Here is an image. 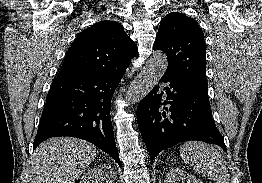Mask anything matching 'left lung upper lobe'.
Instances as JSON below:
<instances>
[{
    "label": "left lung upper lobe",
    "mask_w": 262,
    "mask_h": 183,
    "mask_svg": "<svg viewBox=\"0 0 262 183\" xmlns=\"http://www.w3.org/2000/svg\"><path fill=\"white\" fill-rule=\"evenodd\" d=\"M154 49L166 53L167 72L208 90L204 33L195 20L177 12L166 15L161 21Z\"/></svg>",
    "instance_id": "1"
}]
</instances>
